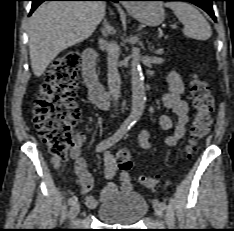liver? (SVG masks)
Returning <instances> with one entry per match:
<instances>
[{"label":"liver","mask_w":234,"mask_h":231,"mask_svg":"<svg viewBox=\"0 0 234 231\" xmlns=\"http://www.w3.org/2000/svg\"><path fill=\"white\" fill-rule=\"evenodd\" d=\"M105 15L102 1H51L29 19L31 67L40 77L63 50L88 39Z\"/></svg>","instance_id":"1"}]
</instances>
